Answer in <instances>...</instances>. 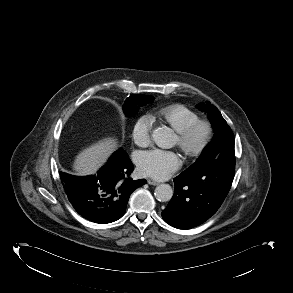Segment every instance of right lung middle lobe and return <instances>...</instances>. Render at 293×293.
I'll return each instance as SVG.
<instances>
[{
	"instance_id": "dd1d6c3e",
	"label": "right lung middle lobe",
	"mask_w": 293,
	"mask_h": 293,
	"mask_svg": "<svg viewBox=\"0 0 293 293\" xmlns=\"http://www.w3.org/2000/svg\"><path fill=\"white\" fill-rule=\"evenodd\" d=\"M154 99L152 96L131 94L123 105V110L126 115H133L138 111V108L146 105Z\"/></svg>"
}]
</instances>
